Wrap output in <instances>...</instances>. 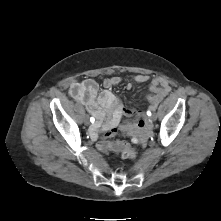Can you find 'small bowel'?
<instances>
[{
    "label": "small bowel",
    "instance_id": "1",
    "mask_svg": "<svg viewBox=\"0 0 221 221\" xmlns=\"http://www.w3.org/2000/svg\"><path fill=\"white\" fill-rule=\"evenodd\" d=\"M148 80L149 77L144 74H137L133 77V82L136 84ZM120 82L121 78L119 76L107 78L103 82L104 89L100 92L97 82L93 79L73 82L69 88V95L75 101L83 104L96 120L95 125L90 129V135L93 139H97L101 133L107 137H113L122 118L132 116L135 113L134 110L125 107L110 90ZM170 89L168 80L155 77L150 81L149 90L151 93L148 95V100L152 105H156L170 92ZM136 116L134 121H142L141 113H136ZM132 124L122 126V131L128 132Z\"/></svg>",
    "mask_w": 221,
    "mask_h": 221
}]
</instances>
